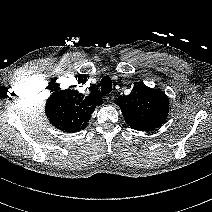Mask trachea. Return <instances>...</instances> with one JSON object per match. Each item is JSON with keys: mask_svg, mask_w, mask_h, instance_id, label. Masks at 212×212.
<instances>
[{"mask_svg": "<svg viewBox=\"0 0 212 212\" xmlns=\"http://www.w3.org/2000/svg\"><path fill=\"white\" fill-rule=\"evenodd\" d=\"M101 91L103 94H109L112 90V81L108 76L102 78L101 82Z\"/></svg>", "mask_w": 212, "mask_h": 212, "instance_id": "trachea-1", "label": "trachea"}]
</instances>
